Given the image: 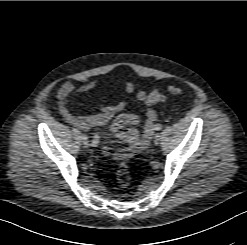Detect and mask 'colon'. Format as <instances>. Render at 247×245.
I'll return each instance as SVG.
<instances>
[{"instance_id": "colon-1", "label": "colon", "mask_w": 247, "mask_h": 245, "mask_svg": "<svg viewBox=\"0 0 247 245\" xmlns=\"http://www.w3.org/2000/svg\"><path fill=\"white\" fill-rule=\"evenodd\" d=\"M168 91L172 95H179L183 92V90L177 86H170L168 88ZM162 100H163V96L157 91L151 92L148 97V101L150 102V104H156ZM116 180L123 187H126L130 184L131 182L130 169L125 162L120 163L116 173Z\"/></svg>"}]
</instances>
